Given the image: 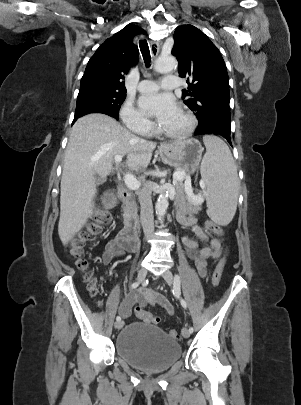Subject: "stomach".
<instances>
[{
  "mask_svg": "<svg viewBox=\"0 0 301 405\" xmlns=\"http://www.w3.org/2000/svg\"><path fill=\"white\" fill-rule=\"evenodd\" d=\"M203 148L196 139H187L163 145L159 154L165 164L184 169L189 174L196 171L202 157Z\"/></svg>",
  "mask_w": 301,
  "mask_h": 405,
  "instance_id": "obj_1",
  "label": "stomach"
}]
</instances>
